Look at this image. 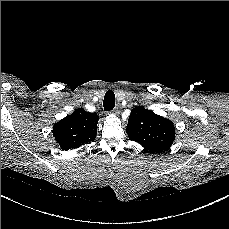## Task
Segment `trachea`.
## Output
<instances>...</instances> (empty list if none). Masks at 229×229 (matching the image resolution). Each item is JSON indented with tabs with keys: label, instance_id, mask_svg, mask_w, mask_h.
<instances>
[{
	"label": "trachea",
	"instance_id": "trachea-1",
	"mask_svg": "<svg viewBox=\"0 0 229 229\" xmlns=\"http://www.w3.org/2000/svg\"><path fill=\"white\" fill-rule=\"evenodd\" d=\"M115 106V94L112 90H108L104 96L103 107L105 111H111Z\"/></svg>",
	"mask_w": 229,
	"mask_h": 229
}]
</instances>
